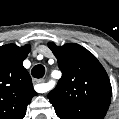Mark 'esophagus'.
Wrapping results in <instances>:
<instances>
[{
  "instance_id": "34e87169",
  "label": "esophagus",
  "mask_w": 119,
  "mask_h": 119,
  "mask_svg": "<svg viewBox=\"0 0 119 119\" xmlns=\"http://www.w3.org/2000/svg\"><path fill=\"white\" fill-rule=\"evenodd\" d=\"M44 79H33V84L43 83Z\"/></svg>"
}]
</instances>
